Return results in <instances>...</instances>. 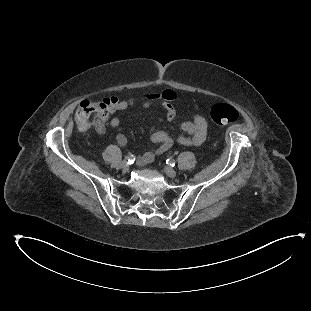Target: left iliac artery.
Here are the masks:
<instances>
[{"label": "left iliac artery", "instance_id": "left-iliac-artery-1", "mask_svg": "<svg viewBox=\"0 0 311 311\" xmlns=\"http://www.w3.org/2000/svg\"><path fill=\"white\" fill-rule=\"evenodd\" d=\"M166 163L168 164V165H170V166H175V164H176V161L173 159V158H168L167 160H166Z\"/></svg>", "mask_w": 311, "mask_h": 311}]
</instances>
